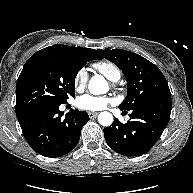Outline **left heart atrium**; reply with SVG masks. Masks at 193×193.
I'll list each match as a JSON object with an SVG mask.
<instances>
[{"label": "left heart atrium", "mask_w": 193, "mask_h": 193, "mask_svg": "<svg viewBox=\"0 0 193 193\" xmlns=\"http://www.w3.org/2000/svg\"><path fill=\"white\" fill-rule=\"evenodd\" d=\"M111 103L112 99L108 96H94L90 94L82 95L76 100V106L86 111H100Z\"/></svg>", "instance_id": "left-heart-atrium-1"}]
</instances>
